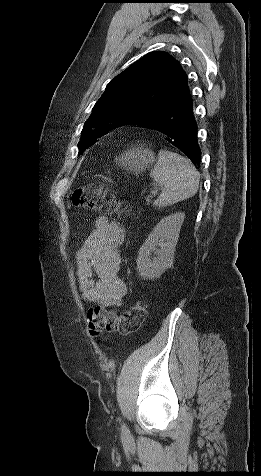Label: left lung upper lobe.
<instances>
[{
  "instance_id": "5c2ea615",
  "label": "left lung upper lobe",
  "mask_w": 261,
  "mask_h": 476,
  "mask_svg": "<svg viewBox=\"0 0 261 476\" xmlns=\"http://www.w3.org/2000/svg\"><path fill=\"white\" fill-rule=\"evenodd\" d=\"M189 93L180 63L163 51L151 52L112 79L85 122L79 154L98 137L158 115Z\"/></svg>"
}]
</instances>
